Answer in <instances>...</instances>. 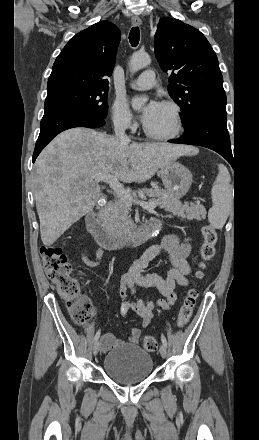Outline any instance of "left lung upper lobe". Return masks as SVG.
I'll return each mask as SVG.
<instances>
[{
    "label": "left lung upper lobe",
    "instance_id": "1",
    "mask_svg": "<svg viewBox=\"0 0 259 440\" xmlns=\"http://www.w3.org/2000/svg\"><path fill=\"white\" fill-rule=\"evenodd\" d=\"M155 55L161 69L170 74L168 92L182 110L184 127L199 114H226L217 56L205 36L174 18L160 20L155 37Z\"/></svg>",
    "mask_w": 259,
    "mask_h": 440
}]
</instances>
